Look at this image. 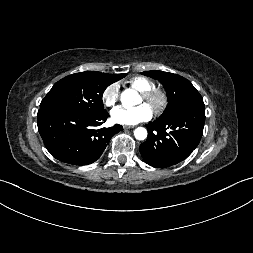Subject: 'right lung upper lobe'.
<instances>
[{
    "instance_id": "right-lung-upper-lobe-1",
    "label": "right lung upper lobe",
    "mask_w": 253,
    "mask_h": 253,
    "mask_svg": "<svg viewBox=\"0 0 253 253\" xmlns=\"http://www.w3.org/2000/svg\"><path fill=\"white\" fill-rule=\"evenodd\" d=\"M122 74H113V77H120Z\"/></svg>"
}]
</instances>
